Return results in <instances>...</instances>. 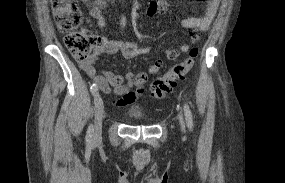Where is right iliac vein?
<instances>
[{
    "label": "right iliac vein",
    "mask_w": 285,
    "mask_h": 183,
    "mask_svg": "<svg viewBox=\"0 0 285 183\" xmlns=\"http://www.w3.org/2000/svg\"><path fill=\"white\" fill-rule=\"evenodd\" d=\"M94 105H95V120H94L93 136L95 139H97L101 136L102 121L104 114V103L99 93H95Z\"/></svg>",
    "instance_id": "obj_1"
}]
</instances>
